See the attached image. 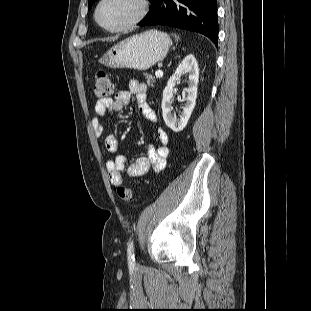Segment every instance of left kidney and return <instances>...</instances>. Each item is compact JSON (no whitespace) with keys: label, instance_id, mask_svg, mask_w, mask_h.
Masks as SVG:
<instances>
[{"label":"left kidney","instance_id":"1","mask_svg":"<svg viewBox=\"0 0 311 311\" xmlns=\"http://www.w3.org/2000/svg\"><path fill=\"white\" fill-rule=\"evenodd\" d=\"M188 73L189 81L188 88L183 91V99L186 101L185 107L183 108L180 118H177L175 114L172 113V99L174 93V87L176 82L180 77ZM199 82V68L198 63L194 55H187L182 62L178 65L173 75L167 82V86L163 91L162 99V116L165 124L172 129L174 132L182 131L190 119L192 111L195 107V102L197 98V84Z\"/></svg>","mask_w":311,"mask_h":311}]
</instances>
